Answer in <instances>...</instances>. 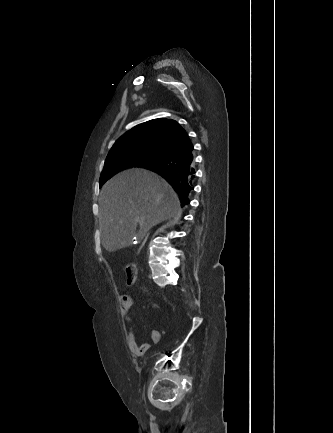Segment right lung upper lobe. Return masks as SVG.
Returning <instances> with one entry per match:
<instances>
[{
    "label": "right lung upper lobe",
    "instance_id": "right-lung-upper-lobe-1",
    "mask_svg": "<svg viewBox=\"0 0 333 433\" xmlns=\"http://www.w3.org/2000/svg\"><path fill=\"white\" fill-rule=\"evenodd\" d=\"M190 143L183 127L171 119L158 118L139 124L121 136L110 151L121 147L161 148L169 154Z\"/></svg>",
    "mask_w": 333,
    "mask_h": 433
}]
</instances>
